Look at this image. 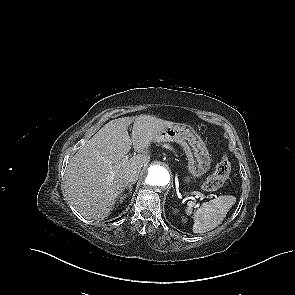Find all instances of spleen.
<instances>
[{
  "mask_svg": "<svg viewBox=\"0 0 295 295\" xmlns=\"http://www.w3.org/2000/svg\"><path fill=\"white\" fill-rule=\"evenodd\" d=\"M235 202L236 198L234 196H219L216 199L203 203L195 212H193L195 203L189 202L185 212L188 216L193 214V232L205 233L216 228L222 223Z\"/></svg>",
  "mask_w": 295,
  "mask_h": 295,
  "instance_id": "3e777b00",
  "label": "spleen"
}]
</instances>
